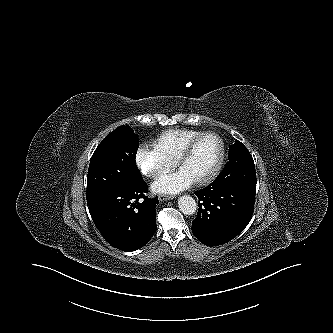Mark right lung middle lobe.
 Here are the masks:
<instances>
[{"instance_id": "right-lung-middle-lobe-1", "label": "right lung middle lobe", "mask_w": 333, "mask_h": 333, "mask_svg": "<svg viewBox=\"0 0 333 333\" xmlns=\"http://www.w3.org/2000/svg\"><path fill=\"white\" fill-rule=\"evenodd\" d=\"M138 136L129 126L108 134L93 153L87 175V200L142 180L135 157Z\"/></svg>"}]
</instances>
